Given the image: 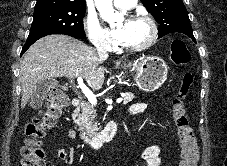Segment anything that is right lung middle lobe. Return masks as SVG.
Listing matches in <instances>:
<instances>
[{"label":"right lung middle lobe","instance_id":"obj_1","mask_svg":"<svg viewBox=\"0 0 227 166\" xmlns=\"http://www.w3.org/2000/svg\"><path fill=\"white\" fill-rule=\"evenodd\" d=\"M86 7L75 5H35L34 19L27 40L50 34L85 38L83 17Z\"/></svg>","mask_w":227,"mask_h":166}]
</instances>
